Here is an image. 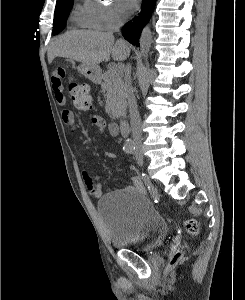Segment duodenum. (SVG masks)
<instances>
[{
    "mask_svg": "<svg viewBox=\"0 0 245 300\" xmlns=\"http://www.w3.org/2000/svg\"><path fill=\"white\" fill-rule=\"evenodd\" d=\"M119 129L123 135H126L129 131V123L126 118L122 117L119 120Z\"/></svg>",
    "mask_w": 245,
    "mask_h": 300,
    "instance_id": "410a0bca",
    "label": "duodenum"
}]
</instances>
